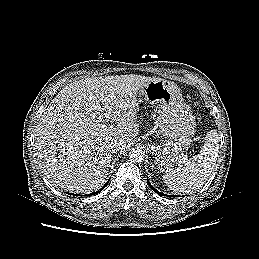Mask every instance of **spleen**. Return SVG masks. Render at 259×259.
Listing matches in <instances>:
<instances>
[{"label":"spleen","mask_w":259,"mask_h":259,"mask_svg":"<svg viewBox=\"0 0 259 259\" xmlns=\"http://www.w3.org/2000/svg\"><path fill=\"white\" fill-rule=\"evenodd\" d=\"M220 137L216 130H210L205 137V144L192 159L186 160L182 170H168L163 181L170 190L177 194H191L207 182L215 167L219 152Z\"/></svg>","instance_id":"obj_1"}]
</instances>
